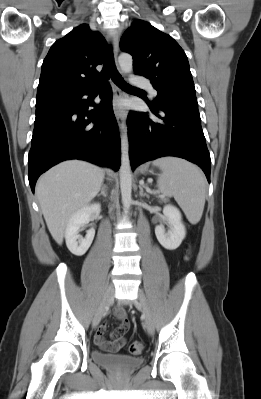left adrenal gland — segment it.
Segmentation results:
<instances>
[{
    "label": "left adrenal gland",
    "mask_w": 261,
    "mask_h": 399,
    "mask_svg": "<svg viewBox=\"0 0 261 399\" xmlns=\"http://www.w3.org/2000/svg\"><path fill=\"white\" fill-rule=\"evenodd\" d=\"M139 189H140L139 195H140L141 197L146 196L147 198H149V195H148L147 193H144L143 187H142L141 185L139 186Z\"/></svg>",
    "instance_id": "left-adrenal-gland-1"
}]
</instances>
